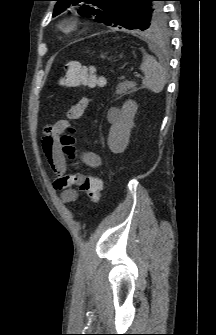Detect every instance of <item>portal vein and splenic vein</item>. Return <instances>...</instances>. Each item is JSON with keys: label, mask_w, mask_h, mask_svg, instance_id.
Returning a JSON list of instances; mask_svg holds the SVG:
<instances>
[{"label": "portal vein and splenic vein", "mask_w": 216, "mask_h": 335, "mask_svg": "<svg viewBox=\"0 0 216 335\" xmlns=\"http://www.w3.org/2000/svg\"><path fill=\"white\" fill-rule=\"evenodd\" d=\"M135 77H137V78H143V76L140 75V74L135 75Z\"/></svg>", "instance_id": "portal-vein-and-splenic-vein-1"}]
</instances>
